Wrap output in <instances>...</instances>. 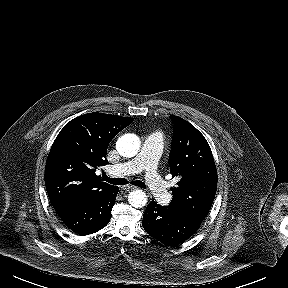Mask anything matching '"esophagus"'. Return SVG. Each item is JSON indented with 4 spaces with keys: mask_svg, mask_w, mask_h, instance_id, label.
Segmentation results:
<instances>
[{
    "mask_svg": "<svg viewBox=\"0 0 288 288\" xmlns=\"http://www.w3.org/2000/svg\"><path fill=\"white\" fill-rule=\"evenodd\" d=\"M136 188H137V187L132 186V185H126V186L123 187L124 190H134V189H136Z\"/></svg>",
    "mask_w": 288,
    "mask_h": 288,
    "instance_id": "34e87169",
    "label": "esophagus"
}]
</instances>
